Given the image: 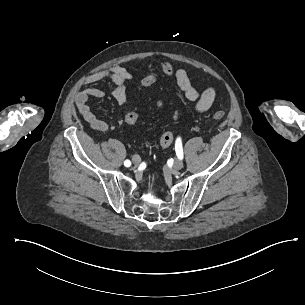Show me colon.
Wrapping results in <instances>:
<instances>
[{"instance_id": "obj_1", "label": "colon", "mask_w": 305, "mask_h": 305, "mask_svg": "<svg viewBox=\"0 0 305 305\" xmlns=\"http://www.w3.org/2000/svg\"><path fill=\"white\" fill-rule=\"evenodd\" d=\"M166 77L168 79H171L173 77V74L171 72H168L166 74ZM161 78H162V75L160 73L152 72L149 77H145L142 79L141 86L143 88H150V87L154 86L155 83L158 80H160ZM157 106L161 107V103H158ZM224 116H225V112L221 111V110L215 111L213 113V117L215 119H222V118H224ZM172 117L174 119H176L177 113L176 112L172 113ZM138 120H139V114L136 111H130L124 117V121L127 124H136L138 122ZM173 139H174L173 133L171 131H166L161 135L159 143L162 147H169L172 145Z\"/></svg>"}]
</instances>
